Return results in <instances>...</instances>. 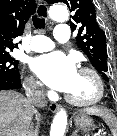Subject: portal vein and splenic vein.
Returning <instances> with one entry per match:
<instances>
[{"mask_svg": "<svg viewBox=\"0 0 117 136\" xmlns=\"http://www.w3.org/2000/svg\"><path fill=\"white\" fill-rule=\"evenodd\" d=\"M93 136H101V132L98 131V132H96Z\"/></svg>", "mask_w": 117, "mask_h": 136, "instance_id": "18ae733b", "label": "portal vein and splenic vein"}]
</instances>
